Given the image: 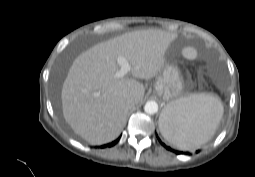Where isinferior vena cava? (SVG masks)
Masks as SVG:
<instances>
[{"instance_id":"obj_1","label":"inferior vena cava","mask_w":255,"mask_h":177,"mask_svg":"<svg viewBox=\"0 0 255 177\" xmlns=\"http://www.w3.org/2000/svg\"><path fill=\"white\" fill-rule=\"evenodd\" d=\"M126 104H127L128 108L131 109L132 107H134L135 102H134L133 99H128L127 102H126Z\"/></svg>"}]
</instances>
